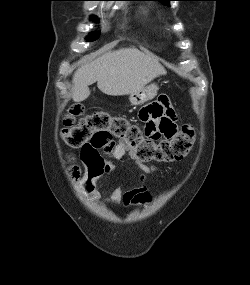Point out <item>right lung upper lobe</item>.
<instances>
[{
    "label": "right lung upper lobe",
    "mask_w": 250,
    "mask_h": 285,
    "mask_svg": "<svg viewBox=\"0 0 250 285\" xmlns=\"http://www.w3.org/2000/svg\"><path fill=\"white\" fill-rule=\"evenodd\" d=\"M97 1H108V0H97Z\"/></svg>",
    "instance_id": "obj_1"
}]
</instances>
